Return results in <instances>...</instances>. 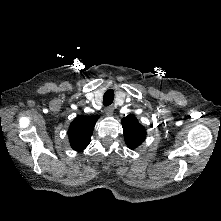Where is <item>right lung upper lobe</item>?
<instances>
[{
    "label": "right lung upper lobe",
    "instance_id": "obj_1",
    "mask_svg": "<svg viewBox=\"0 0 221 221\" xmlns=\"http://www.w3.org/2000/svg\"><path fill=\"white\" fill-rule=\"evenodd\" d=\"M98 116H77L68 131L71 147L75 151L84 150L91 141V136Z\"/></svg>",
    "mask_w": 221,
    "mask_h": 221
}]
</instances>
